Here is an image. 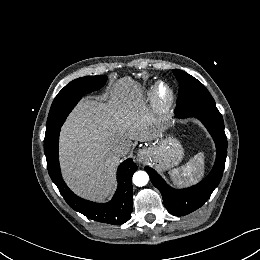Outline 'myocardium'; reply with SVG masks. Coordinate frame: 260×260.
<instances>
[{
  "label": "myocardium",
  "instance_id": "1",
  "mask_svg": "<svg viewBox=\"0 0 260 260\" xmlns=\"http://www.w3.org/2000/svg\"><path fill=\"white\" fill-rule=\"evenodd\" d=\"M163 87L168 92V98L162 100L159 95L160 88ZM151 103L153 112L156 115L165 117L171 111L175 103V93L173 89L163 81H159L155 84L152 90Z\"/></svg>",
  "mask_w": 260,
  "mask_h": 260
}]
</instances>
